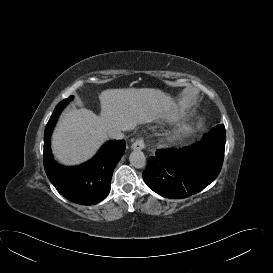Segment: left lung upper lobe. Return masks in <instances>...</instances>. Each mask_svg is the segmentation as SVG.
Instances as JSON below:
<instances>
[{"label":"left lung upper lobe","instance_id":"left-lung-upper-lobe-1","mask_svg":"<svg viewBox=\"0 0 273 273\" xmlns=\"http://www.w3.org/2000/svg\"><path fill=\"white\" fill-rule=\"evenodd\" d=\"M205 142L214 143L221 148L225 149L226 132L224 125H217L213 127L207 135L202 139Z\"/></svg>","mask_w":273,"mask_h":273}]
</instances>
